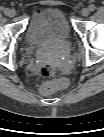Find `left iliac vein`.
I'll return each instance as SVG.
<instances>
[{"mask_svg": "<svg viewBox=\"0 0 104 137\" xmlns=\"http://www.w3.org/2000/svg\"><path fill=\"white\" fill-rule=\"evenodd\" d=\"M81 14H82V16L87 17L90 14V9L89 8H83L81 10Z\"/></svg>", "mask_w": 104, "mask_h": 137, "instance_id": "1", "label": "left iliac vein"}]
</instances>
